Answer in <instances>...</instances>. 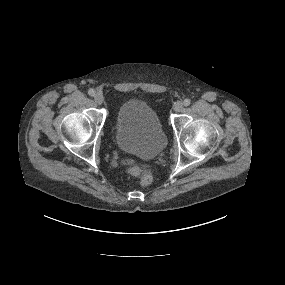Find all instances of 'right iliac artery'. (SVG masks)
Masks as SVG:
<instances>
[{
	"instance_id": "obj_1",
	"label": "right iliac artery",
	"mask_w": 285,
	"mask_h": 285,
	"mask_svg": "<svg viewBox=\"0 0 285 285\" xmlns=\"http://www.w3.org/2000/svg\"><path fill=\"white\" fill-rule=\"evenodd\" d=\"M88 94H89L90 96H95V90H94V89H90V90L88 91Z\"/></svg>"
}]
</instances>
